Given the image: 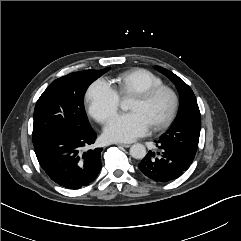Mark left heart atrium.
<instances>
[{"mask_svg": "<svg viewBox=\"0 0 241 241\" xmlns=\"http://www.w3.org/2000/svg\"><path fill=\"white\" fill-rule=\"evenodd\" d=\"M151 126L141 112L120 114L108 122L104 130V137L111 142H131L147 134Z\"/></svg>", "mask_w": 241, "mask_h": 241, "instance_id": "1", "label": "left heart atrium"}]
</instances>
